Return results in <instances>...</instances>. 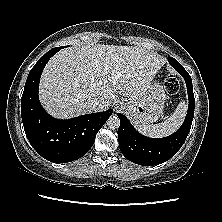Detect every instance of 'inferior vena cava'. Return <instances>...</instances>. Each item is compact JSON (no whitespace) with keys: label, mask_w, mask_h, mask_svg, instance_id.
<instances>
[{"label":"inferior vena cava","mask_w":222,"mask_h":222,"mask_svg":"<svg viewBox=\"0 0 222 222\" xmlns=\"http://www.w3.org/2000/svg\"><path fill=\"white\" fill-rule=\"evenodd\" d=\"M85 107L91 112L98 111L100 107L99 100L97 98H89L85 101Z\"/></svg>","instance_id":"obj_1"}]
</instances>
